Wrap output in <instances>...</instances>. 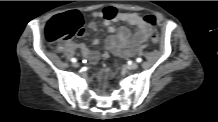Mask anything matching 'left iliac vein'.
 I'll use <instances>...</instances> for the list:
<instances>
[{
	"mask_svg": "<svg viewBox=\"0 0 218 122\" xmlns=\"http://www.w3.org/2000/svg\"><path fill=\"white\" fill-rule=\"evenodd\" d=\"M128 68H129L130 70H135V69L138 68V64H137L136 62H134V63L130 64V65L128 66Z\"/></svg>",
	"mask_w": 218,
	"mask_h": 122,
	"instance_id": "1",
	"label": "left iliac vein"
}]
</instances>
